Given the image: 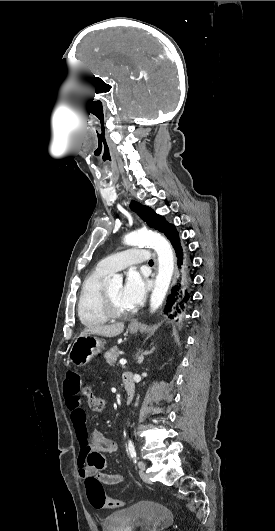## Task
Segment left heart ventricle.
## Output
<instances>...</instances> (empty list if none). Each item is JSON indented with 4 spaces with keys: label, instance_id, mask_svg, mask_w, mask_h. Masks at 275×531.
Wrapping results in <instances>:
<instances>
[{
    "label": "left heart ventricle",
    "instance_id": "b2bd125f",
    "mask_svg": "<svg viewBox=\"0 0 275 531\" xmlns=\"http://www.w3.org/2000/svg\"><path fill=\"white\" fill-rule=\"evenodd\" d=\"M105 288L109 291L113 304L118 311L127 312L131 309L124 303L121 297L122 286L120 283L106 285Z\"/></svg>",
    "mask_w": 275,
    "mask_h": 531
}]
</instances>
